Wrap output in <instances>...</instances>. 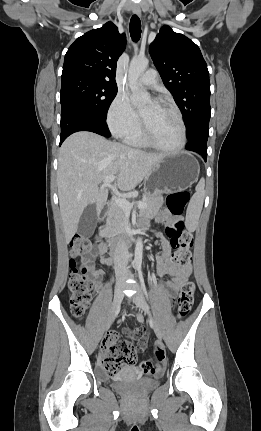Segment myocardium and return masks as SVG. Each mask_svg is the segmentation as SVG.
<instances>
[{
	"label": "myocardium",
	"instance_id": "1",
	"mask_svg": "<svg viewBox=\"0 0 261 431\" xmlns=\"http://www.w3.org/2000/svg\"><path fill=\"white\" fill-rule=\"evenodd\" d=\"M163 106L171 109L179 122L180 125V140L179 143L172 148H167V147H163L160 144H158L156 142V140L154 139V137L152 136L151 132L149 131V129L147 128V126L145 125L144 121H142V134L146 140V142L152 146L153 148H155L158 151L167 153V154H177L180 151L183 150V148L185 147L186 144V126L182 117V114L180 112V110L173 104L167 102V101H162L161 103Z\"/></svg>",
	"mask_w": 261,
	"mask_h": 431
}]
</instances>
